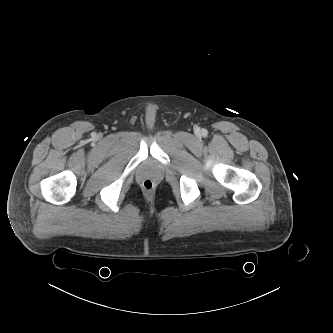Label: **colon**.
<instances>
[{"label": "colon", "mask_w": 333, "mask_h": 333, "mask_svg": "<svg viewBox=\"0 0 333 333\" xmlns=\"http://www.w3.org/2000/svg\"><path fill=\"white\" fill-rule=\"evenodd\" d=\"M142 187L146 191H151L154 188V183L150 179H146L142 182Z\"/></svg>", "instance_id": "1"}]
</instances>
